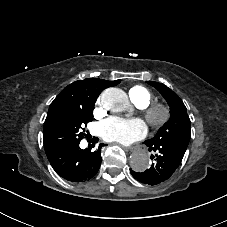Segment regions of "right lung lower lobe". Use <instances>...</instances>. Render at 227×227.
Returning a JSON list of instances; mask_svg holds the SVG:
<instances>
[{
	"instance_id": "98d812e1",
	"label": "right lung lower lobe",
	"mask_w": 227,
	"mask_h": 227,
	"mask_svg": "<svg viewBox=\"0 0 227 227\" xmlns=\"http://www.w3.org/2000/svg\"><path fill=\"white\" fill-rule=\"evenodd\" d=\"M80 142L65 145L47 153L53 169L64 179L72 182L89 180L97 174L101 165L100 144L96 151L82 150Z\"/></svg>"
}]
</instances>
